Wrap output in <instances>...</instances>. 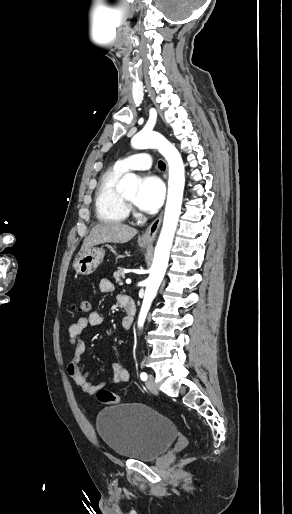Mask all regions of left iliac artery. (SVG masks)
I'll return each instance as SVG.
<instances>
[{"instance_id":"left-iliac-artery-1","label":"left iliac artery","mask_w":292,"mask_h":514,"mask_svg":"<svg viewBox=\"0 0 292 514\" xmlns=\"http://www.w3.org/2000/svg\"><path fill=\"white\" fill-rule=\"evenodd\" d=\"M147 377H148V376H147V373H145V372H142V373L140 374V378H141V380H142V381L147 380Z\"/></svg>"}]
</instances>
